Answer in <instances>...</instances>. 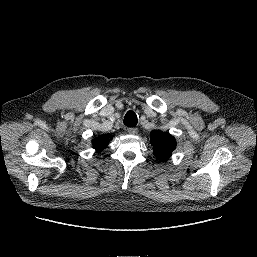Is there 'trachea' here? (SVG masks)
Segmentation results:
<instances>
[{"mask_svg": "<svg viewBox=\"0 0 257 257\" xmlns=\"http://www.w3.org/2000/svg\"><path fill=\"white\" fill-rule=\"evenodd\" d=\"M137 115L133 111H128L124 117V124L128 127H134L137 125Z\"/></svg>", "mask_w": 257, "mask_h": 257, "instance_id": "1", "label": "trachea"}]
</instances>
